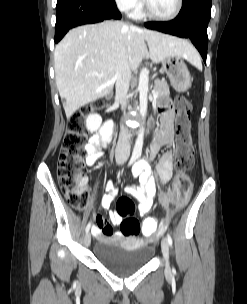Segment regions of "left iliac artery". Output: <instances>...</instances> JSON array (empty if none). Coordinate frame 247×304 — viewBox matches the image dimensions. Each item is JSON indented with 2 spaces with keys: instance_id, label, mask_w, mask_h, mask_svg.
<instances>
[{
  "instance_id": "1",
  "label": "left iliac artery",
  "mask_w": 247,
  "mask_h": 304,
  "mask_svg": "<svg viewBox=\"0 0 247 304\" xmlns=\"http://www.w3.org/2000/svg\"><path fill=\"white\" fill-rule=\"evenodd\" d=\"M167 241H168L169 245L172 246V238H171L170 234H167ZM173 271H174V269H173Z\"/></svg>"
}]
</instances>
